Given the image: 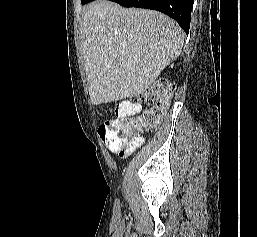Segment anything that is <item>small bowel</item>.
Segmentation results:
<instances>
[{
  "instance_id": "small-bowel-1",
  "label": "small bowel",
  "mask_w": 257,
  "mask_h": 237,
  "mask_svg": "<svg viewBox=\"0 0 257 237\" xmlns=\"http://www.w3.org/2000/svg\"><path fill=\"white\" fill-rule=\"evenodd\" d=\"M140 104L133 101H123L121 102L116 110L115 116L127 117L134 115L140 111ZM144 142L143 137L135 136L131 141L125 142L122 146L109 145L110 151L119 153L120 156H128L132 154L142 143Z\"/></svg>"
}]
</instances>
